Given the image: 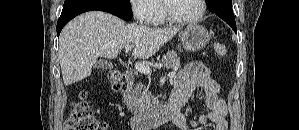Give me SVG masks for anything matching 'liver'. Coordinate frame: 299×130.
Listing matches in <instances>:
<instances>
[{"instance_id":"liver-1","label":"liver","mask_w":299,"mask_h":130,"mask_svg":"<svg viewBox=\"0 0 299 130\" xmlns=\"http://www.w3.org/2000/svg\"><path fill=\"white\" fill-rule=\"evenodd\" d=\"M179 31V27L126 25L120 18L101 11L83 13L71 20L60 34L59 60L64 84L68 86L87 78L98 57L116 58L127 45H134V57L149 58Z\"/></svg>"}]
</instances>
